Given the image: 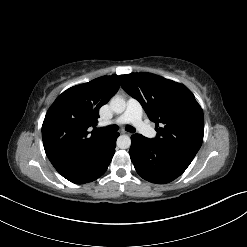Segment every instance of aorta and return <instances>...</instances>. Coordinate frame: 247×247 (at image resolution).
Masks as SVG:
<instances>
[{"instance_id": "obj_1", "label": "aorta", "mask_w": 247, "mask_h": 247, "mask_svg": "<svg viewBox=\"0 0 247 247\" xmlns=\"http://www.w3.org/2000/svg\"><path fill=\"white\" fill-rule=\"evenodd\" d=\"M110 107L113 112L120 114L126 109V102L122 97L114 96L110 100ZM117 146L120 149H128L131 146V139L127 135H120L117 139Z\"/></svg>"}]
</instances>
